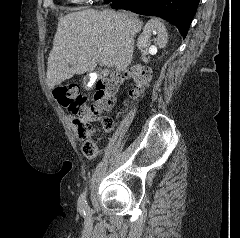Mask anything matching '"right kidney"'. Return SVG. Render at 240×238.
Segmentation results:
<instances>
[{
	"label": "right kidney",
	"mask_w": 240,
	"mask_h": 238,
	"mask_svg": "<svg viewBox=\"0 0 240 238\" xmlns=\"http://www.w3.org/2000/svg\"><path fill=\"white\" fill-rule=\"evenodd\" d=\"M151 33L155 34L157 37L154 39V42L159 46V48H164L167 44L168 34L165 28V25L160 22L158 19H151L149 20L144 29L142 34L139 36L137 41V46L141 52H144V49L148 45V41L150 40ZM149 52L156 53L157 48L151 47L149 48ZM143 62L147 63L148 58L145 57V54L142 55Z\"/></svg>",
	"instance_id": "obj_1"
}]
</instances>
